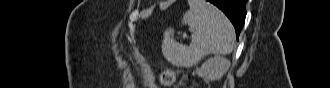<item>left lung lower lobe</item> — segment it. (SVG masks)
<instances>
[{"mask_svg":"<svg viewBox=\"0 0 330 88\" xmlns=\"http://www.w3.org/2000/svg\"><path fill=\"white\" fill-rule=\"evenodd\" d=\"M207 1L217 6L230 19V21L232 22L235 28L236 37L238 39L246 17L245 5L247 0H207Z\"/></svg>","mask_w":330,"mask_h":88,"instance_id":"obj_1","label":"left lung lower lobe"}]
</instances>
